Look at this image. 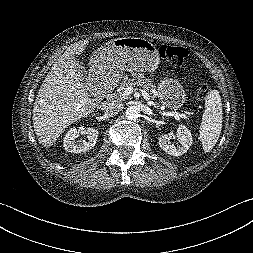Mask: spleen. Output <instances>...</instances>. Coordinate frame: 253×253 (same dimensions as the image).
<instances>
[{
    "instance_id": "1",
    "label": "spleen",
    "mask_w": 253,
    "mask_h": 253,
    "mask_svg": "<svg viewBox=\"0 0 253 253\" xmlns=\"http://www.w3.org/2000/svg\"><path fill=\"white\" fill-rule=\"evenodd\" d=\"M222 116L221 97L217 90H212L206 98L199 133L204 152H210L217 143L222 130Z\"/></svg>"
}]
</instances>
